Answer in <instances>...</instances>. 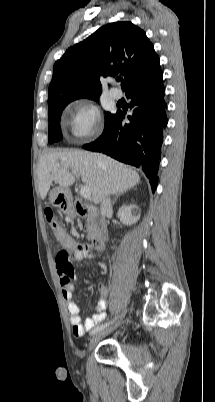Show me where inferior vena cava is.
Returning a JSON list of instances; mask_svg holds the SVG:
<instances>
[{
  "label": "inferior vena cava",
  "instance_id": "602c4592",
  "mask_svg": "<svg viewBox=\"0 0 215 402\" xmlns=\"http://www.w3.org/2000/svg\"><path fill=\"white\" fill-rule=\"evenodd\" d=\"M112 210L110 195H105L100 204V211L102 215L101 226L106 232L105 215Z\"/></svg>",
  "mask_w": 215,
  "mask_h": 402
}]
</instances>
